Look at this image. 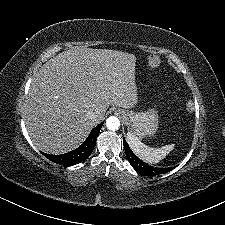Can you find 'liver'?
I'll use <instances>...</instances> for the list:
<instances>
[{
  "instance_id": "liver-1",
  "label": "liver",
  "mask_w": 225,
  "mask_h": 225,
  "mask_svg": "<svg viewBox=\"0 0 225 225\" xmlns=\"http://www.w3.org/2000/svg\"><path fill=\"white\" fill-rule=\"evenodd\" d=\"M136 57L115 50L76 48L47 61L32 78L23 118L38 150L63 154L77 148L109 105L138 101ZM98 110L90 118L88 111Z\"/></svg>"
}]
</instances>
